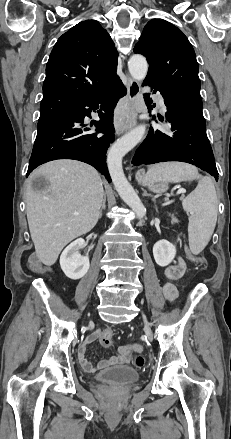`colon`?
Segmentation results:
<instances>
[{"mask_svg": "<svg viewBox=\"0 0 231 439\" xmlns=\"http://www.w3.org/2000/svg\"><path fill=\"white\" fill-rule=\"evenodd\" d=\"M189 257L194 259L196 262L203 264V259L201 258H197V257H193L191 254H189ZM31 266L34 269H39L40 266L38 265V263H36L35 261H31ZM111 340H112V332H106L103 334V336L101 337V342L104 346H109L111 344ZM145 364V359L142 356H138L136 358V365L138 367H143Z\"/></svg>", "mask_w": 231, "mask_h": 439, "instance_id": "5ec220e1", "label": "colon"}]
</instances>
